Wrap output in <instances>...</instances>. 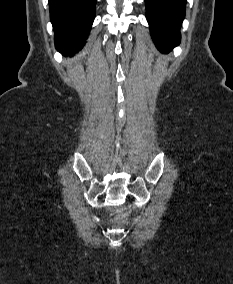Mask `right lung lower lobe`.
<instances>
[{
    "mask_svg": "<svg viewBox=\"0 0 233 284\" xmlns=\"http://www.w3.org/2000/svg\"><path fill=\"white\" fill-rule=\"evenodd\" d=\"M96 0H49L55 47L63 55H73L85 44L95 18Z\"/></svg>",
    "mask_w": 233,
    "mask_h": 284,
    "instance_id": "98d812e1",
    "label": "right lung lower lobe"
}]
</instances>
